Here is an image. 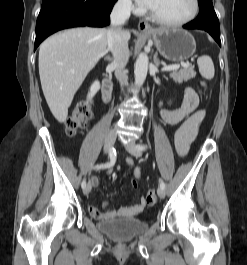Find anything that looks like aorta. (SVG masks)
<instances>
[{"label":"aorta","mask_w":247,"mask_h":265,"mask_svg":"<svg viewBox=\"0 0 247 265\" xmlns=\"http://www.w3.org/2000/svg\"><path fill=\"white\" fill-rule=\"evenodd\" d=\"M148 71V56L146 53H140L136 59L134 67L135 83L138 86L143 85Z\"/></svg>","instance_id":"aorta-1"}]
</instances>
